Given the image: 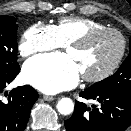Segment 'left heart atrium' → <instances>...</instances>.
<instances>
[{
    "instance_id": "obj_1",
    "label": "left heart atrium",
    "mask_w": 131,
    "mask_h": 131,
    "mask_svg": "<svg viewBox=\"0 0 131 131\" xmlns=\"http://www.w3.org/2000/svg\"><path fill=\"white\" fill-rule=\"evenodd\" d=\"M75 60L68 54L40 55L29 59L22 70L23 80L48 94L74 87L80 78Z\"/></svg>"
}]
</instances>
